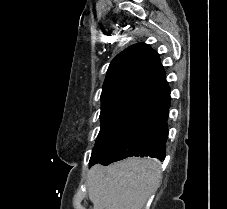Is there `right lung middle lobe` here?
<instances>
[{
	"label": "right lung middle lobe",
	"mask_w": 227,
	"mask_h": 209,
	"mask_svg": "<svg viewBox=\"0 0 227 209\" xmlns=\"http://www.w3.org/2000/svg\"><path fill=\"white\" fill-rule=\"evenodd\" d=\"M152 107L124 98L109 103L101 112V128L89 166L102 163L114 150L136 134L146 123Z\"/></svg>",
	"instance_id": "dd1d6c3e"
}]
</instances>
